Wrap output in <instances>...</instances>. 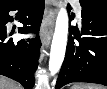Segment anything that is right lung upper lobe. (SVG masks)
I'll use <instances>...</instances> for the list:
<instances>
[{
    "label": "right lung upper lobe",
    "mask_w": 107,
    "mask_h": 89,
    "mask_svg": "<svg viewBox=\"0 0 107 89\" xmlns=\"http://www.w3.org/2000/svg\"><path fill=\"white\" fill-rule=\"evenodd\" d=\"M9 1H11V0H0V5H4V4H6L7 2H9Z\"/></svg>",
    "instance_id": "right-lung-upper-lobe-1"
}]
</instances>
